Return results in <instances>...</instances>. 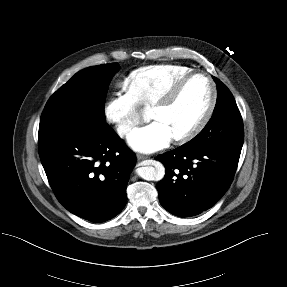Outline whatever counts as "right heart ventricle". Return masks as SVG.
Wrapping results in <instances>:
<instances>
[{"instance_id": "e07e8e85", "label": "right heart ventricle", "mask_w": 287, "mask_h": 287, "mask_svg": "<svg viewBox=\"0 0 287 287\" xmlns=\"http://www.w3.org/2000/svg\"><path fill=\"white\" fill-rule=\"evenodd\" d=\"M191 71L189 67L172 64L142 67L129 75L126 85L139 105L150 107Z\"/></svg>"}]
</instances>
